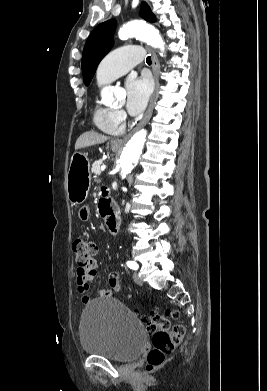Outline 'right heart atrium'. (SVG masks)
I'll return each mask as SVG.
<instances>
[{"label": "right heart atrium", "mask_w": 267, "mask_h": 391, "mask_svg": "<svg viewBox=\"0 0 267 391\" xmlns=\"http://www.w3.org/2000/svg\"><path fill=\"white\" fill-rule=\"evenodd\" d=\"M118 113V117L123 120L124 117H125V114L123 112H117Z\"/></svg>", "instance_id": "1"}]
</instances>
